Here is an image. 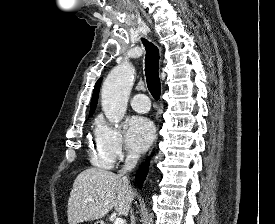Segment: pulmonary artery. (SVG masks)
Listing matches in <instances>:
<instances>
[{
  "label": "pulmonary artery",
  "mask_w": 275,
  "mask_h": 224,
  "mask_svg": "<svg viewBox=\"0 0 275 224\" xmlns=\"http://www.w3.org/2000/svg\"><path fill=\"white\" fill-rule=\"evenodd\" d=\"M131 106L135 111L145 113L150 109V100L148 96L144 94H138L131 99Z\"/></svg>",
  "instance_id": "pulmonary-artery-1"
}]
</instances>
